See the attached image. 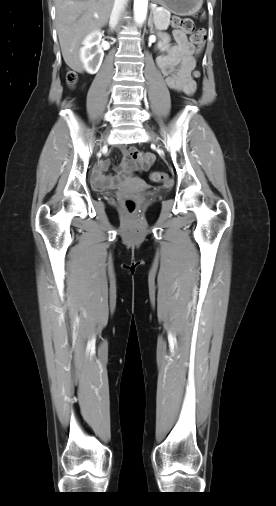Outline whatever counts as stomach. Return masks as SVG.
Segmentation results:
<instances>
[{
	"instance_id": "0dacf381",
	"label": "stomach",
	"mask_w": 276,
	"mask_h": 506,
	"mask_svg": "<svg viewBox=\"0 0 276 506\" xmlns=\"http://www.w3.org/2000/svg\"><path fill=\"white\" fill-rule=\"evenodd\" d=\"M166 8L168 11L180 15H193L199 11L203 4V0H152Z\"/></svg>"
}]
</instances>
